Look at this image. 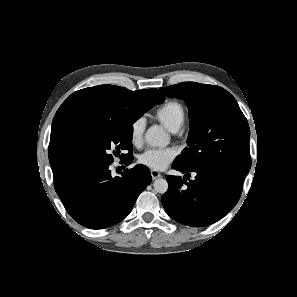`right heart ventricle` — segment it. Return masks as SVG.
Returning a JSON list of instances; mask_svg holds the SVG:
<instances>
[{
    "label": "right heart ventricle",
    "instance_id": "right-heart-ventricle-1",
    "mask_svg": "<svg viewBox=\"0 0 297 297\" xmlns=\"http://www.w3.org/2000/svg\"><path fill=\"white\" fill-rule=\"evenodd\" d=\"M155 117L171 131H177L185 122V109L176 100H169L155 111Z\"/></svg>",
    "mask_w": 297,
    "mask_h": 297
}]
</instances>
